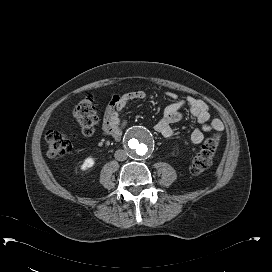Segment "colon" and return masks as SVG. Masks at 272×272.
<instances>
[{"label": "colon", "instance_id": "1", "mask_svg": "<svg viewBox=\"0 0 272 272\" xmlns=\"http://www.w3.org/2000/svg\"><path fill=\"white\" fill-rule=\"evenodd\" d=\"M74 118L84 135L93 134L98 123L97 110L91 98L82 99L74 108ZM75 135L64 130H51L45 139L48 153L52 157L63 156L71 152ZM220 142L219 135H214L202 144L199 152L193 158L190 170L199 174L207 170Z\"/></svg>", "mask_w": 272, "mask_h": 272}]
</instances>
